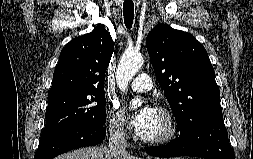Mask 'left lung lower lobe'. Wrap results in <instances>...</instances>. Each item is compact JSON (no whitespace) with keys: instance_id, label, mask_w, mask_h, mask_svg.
<instances>
[{"instance_id":"left-lung-lower-lobe-1","label":"left lung lower lobe","mask_w":253,"mask_h":159,"mask_svg":"<svg viewBox=\"0 0 253 159\" xmlns=\"http://www.w3.org/2000/svg\"><path fill=\"white\" fill-rule=\"evenodd\" d=\"M145 150L156 157L235 159L222 114L199 119L180 130L176 140L163 146L147 147Z\"/></svg>"}]
</instances>
